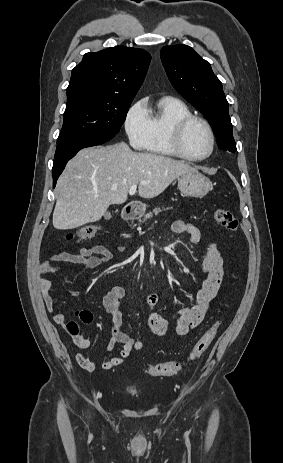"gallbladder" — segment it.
Here are the masks:
<instances>
[{
    "mask_svg": "<svg viewBox=\"0 0 283 463\" xmlns=\"http://www.w3.org/2000/svg\"><path fill=\"white\" fill-rule=\"evenodd\" d=\"M104 216H105V218H110L111 214L109 212H107Z\"/></svg>",
    "mask_w": 283,
    "mask_h": 463,
    "instance_id": "gallbladder-1",
    "label": "gallbladder"
}]
</instances>
